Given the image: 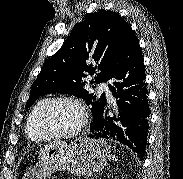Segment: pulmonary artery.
Here are the masks:
<instances>
[{
  "mask_svg": "<svg viewBox=\"0 0 183 179\" xmlns=\"http://www.w3.org/2000/svg\"><path fill=\"white\" fill-rule=\"evenodd\" d=\"M99 90L102 91V92H105L107 98H108L110 101H113L112 93H111V91H110V89H109V86H108L106 83H101L100 86H99Z\"/></svg>",
  "mask_w": 183,
  "mask_h": 179,
  "instance_id": "pulmonary-artery-1",
  "label": "pulmonary artery"
}]
</instances>
